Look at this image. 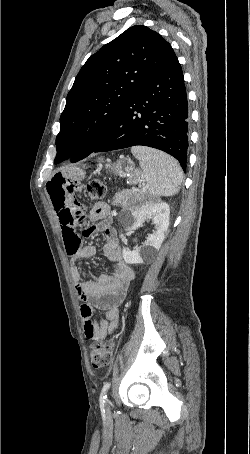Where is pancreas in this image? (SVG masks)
Here are the masks:
<instances>
[{
    "mask_svg": "<svg viewBox=\"0 0 250 454\" xmlns=\"http://www.w3.org/2000/svg\"><path fill=\"white\" fill-rule=\"evenodd\" d=\"M129 197H131V199H135V200H141L142 197H143V194L141 192H135L133 194H130ZM128 200V197H125L124 195H122L121 193L117 194L116 197L113 199V204H118V203H121L124 207H128L130 205L129 202H127Z\"/></svg>",
    "mask_w": 250,
    "mask_h": 454,
    "instance_id": "cf45deb5",
    "label": "pancreas"
}]
</instances>
